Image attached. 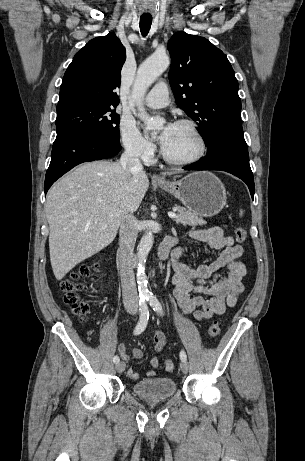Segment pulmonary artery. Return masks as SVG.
Returning a JSON list of instances; mask_svg holds the SVG:
<instances>
[{
	"instance_id": "obj_1",
	"label": "pulmonary artery",
	"mask_w": 305,
	"mask_h": 461,
	"mask_svg": "<svg viewBox=\"0 0 305 461\" xmlns=\"http://www.w3.org/2000/svg\"><path fill=\"white\" fill-rule=\"evenodd\" d=\"M145 103L151 108H162L169 104L168 86L165 82L157 83L147 94Z\"/></svg>"
}]
</instances>
